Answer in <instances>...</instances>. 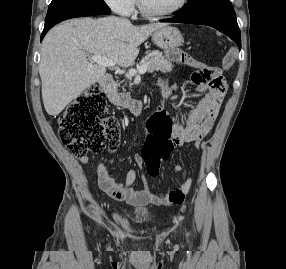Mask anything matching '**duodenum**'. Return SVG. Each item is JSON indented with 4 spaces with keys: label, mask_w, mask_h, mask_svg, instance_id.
<instances>
[{
    "label": "duodenum",
    "mask_w": 286,
    "mask_h": 269,
    "mask_svg": "<svg viewBox=\"0 0 286 269\" xmlns=\"http://www.w3.org/2000/svg\"><path fill=\"white\" fill-rule=\"evenodd\" d=\"M100 85L105 91L109 102L116 107L129 109L133 114H139L142 111V104L137 101H131L126 97L120 96L115 87V82L112 76L105 73L100 81Z\"/></svg>",
    "instance_id": "1"
}]
</instances>
